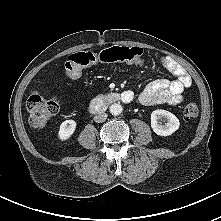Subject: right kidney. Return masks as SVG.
Returning a JSON list of instances; mask_svg holds the SVG:
<instances>
[{"instance_id":"ca27d5eb","label":"right kidney","mask_w":221,"mask_h":221,"mask_svg":"<svg viewBox=\"0 0 221 221\" xmlns=\"http://www.w3.org/2000/svg\"><path fill=\"white\" fill-rule=\"evenodd\" d=\"M76 125L77 124L74 120H66L62 122L58 131V138L61 141L69 139L73 135Z\"/></svg>"}]
</instances>
